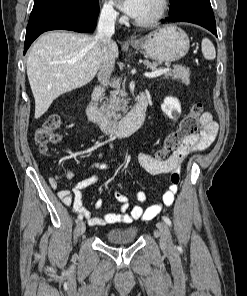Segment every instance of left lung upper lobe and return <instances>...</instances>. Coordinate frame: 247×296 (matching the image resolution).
Wrapping results in <instances>:
<instances>
[{"mask_svg": "<svg viewBox=\"0 0 247 296\" xmlns=\"http://www.w3.org/2000/svg\"><path fill=\"white\" fill-rule=\"evenodd\" d=\"M189 0H170L171 8L169 12H174L183 7Z\"/></svg>", "mask_w": 247, "mask_h": 296, "instance_id": "5c2ea615", "label": "left lung upper lobe"}]
</instances>
